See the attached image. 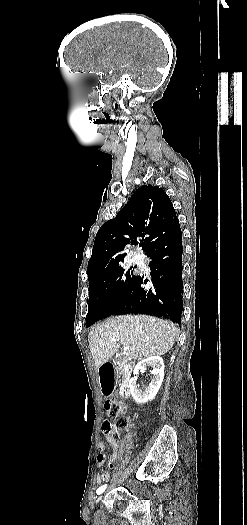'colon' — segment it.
I'll use <instances>...</instances> for the list:
<instances>
[{"label": "colon", "instance_id": "1", "mask_svg": "<svg viewBox=\"0 0 247 525\" xmlns=\"http://www.w3.org/2000/svg\"><path fill=\"white\" fill-rule=\"evenodd\" d=\"M105 410L103 424L109 433L118 435L127 428V419L123 414L122 401L111 400L105 405Z\"/></svg>", "mask_w": 247, "mask_h": 525}]
</instances>
